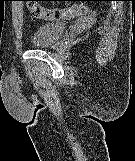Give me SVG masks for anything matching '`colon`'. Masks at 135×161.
Returning a JSON list of instances; mask_svg holds the SVG:
<instances>
[{
	"mask_svg": "<svg viewBox=\"0 0 135 161\" xmlns=\"http://www.w3.org/2000/svg\"><path fill=\"white\" fill-rule=\"evenodd\" d=\"M29 12L37 18L44 20H69L86 14L84 5H73L68 8H46L34 0H24Z\"/></svg>",
	"mask_w": 135,
	"mask_h": 161,
	"instance_id": "1",
	"label": "colon"
}]
</instances>
